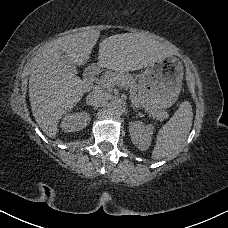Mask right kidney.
Masks as SVG:
<instances>
[{"mask_svg": "<svg viewBox=\"0 0 228 228\" xmlns=\"http://www.w3.org/2000/svg\"><path fill=\"white\" fill-rule=\"evenodd\" d=\"M91 117L86 112H76L67 114L61 124L60 127L65 132H76L84 129L90 122Z\"/></svg>", "mask_w": 228, "mask_h": 228, "instance_id": "obj_1", "label": "right kidney"}]
</instances>
